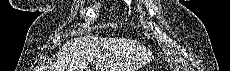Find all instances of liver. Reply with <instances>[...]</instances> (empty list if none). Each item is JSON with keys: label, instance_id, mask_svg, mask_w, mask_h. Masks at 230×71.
<instances>
[{"label": "liver", "instance_id": "liver-1", "mask_svg": "<svg viewBox=\"0 0 230 71\" xmlns=\"http://www.w3.org/2000/svg\"><path fill=\"white\" fill-rule=\"evenodd\" d=\"M56 56L50 71H91L92 61L96 71H135L153 58L144 46L131 40L95 36L67 41Z\"/></svg>", "mask_w": 230, "mask_h": 71}]
</instances>
